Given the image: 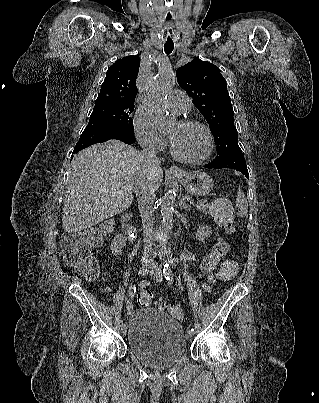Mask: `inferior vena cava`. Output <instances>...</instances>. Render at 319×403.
Returning a JSON list of instances; mask_svg holds the SVG:
<instances>
[{"label": "inferior vena cava", "mask_w": 319, "mask_h": 403, "mask_svg": "<svg viewBox=\"0 0 319 403\" xmlns=\"http://www.w3.org/2000/svg\"><path fill=\"white\" fill-rule=\"evenodd\" d=\"M142 160L147 166L148 174L136 189L139 211L142 217L144 241L148 247L152 246V205L155 196V185L152 180V171L159 165V159L156 156L154 148L144 145L142 147Z\"/></svg>", "instance_id": "602c4592"}]
</instances>
